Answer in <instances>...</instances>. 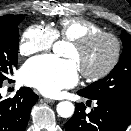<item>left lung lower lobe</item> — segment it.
<instances>
[{"label": "left lung lower lobe", "mask_w": 131, "mask_h": 131, "mask_svg": "<svg viewBox=\"0 0 131 131\" xmlns=\"http://www.w3.org/2000/svg\"><path fill=\"white\" fill-rule=\"evenodd\" d=\"M80 96L96 100L97 107L85 112L83 103H76L75 113L64 124L66 131H125L131 123V109L103 98H90L81 90Z\"/></svg>", "instance_id": "0a47b994"}]
</instances>
